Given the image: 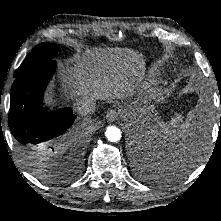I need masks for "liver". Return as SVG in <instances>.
Instances as JSON below:
<instances>
[{
  "label": "liver",
  "mask_w": 221,
  "mask_h": 221,
  "mask_svg": "<svg viewBox=\"0 0 221 221\" xmlns=\"http://www.w3.org/2000/svg\"><path fill=\"white\" fill-rule=\"evenodd\" d=\"M144 60L137 51L127 48L86 50L66 69L61 65L65 92L76 100L89 96L95 100L124 99L133 92L142 77ZM42 157L36 162L45 167L46 148L39 146Z\"/></svg>",
  "instance_id": "obj_1"
}]
</instances>
